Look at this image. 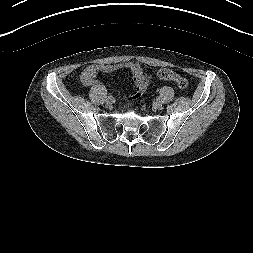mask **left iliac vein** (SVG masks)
<instances>
[{
	"label": "left iliac vein",
	"instance_id": "4c4485c4",
	"mask_svg": "<svg viewBox=\"0 0 253 253\" xmlns=\"http://www.w3.org/2000/svg\"><path fill=\"white\" fill-rule=\"evenodd\" d=\"M154 107L157 108V109H161L162 108V105L158 102H155L154 103Z\"/></svg>",
	"mask_w": 253,
	"mask_h": 253
}]
</instances>
